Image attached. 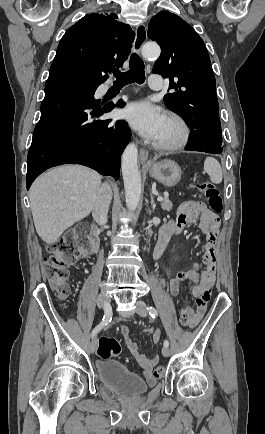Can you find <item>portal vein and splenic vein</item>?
<instances>
[{
  "label": "portal vein and splenic vein",
  "mask_w": 265,
  "mask_h": 434,
  "mask_svg": "<svg viewBox=\"0 0 265 434\" xmlns=\"http://www.w3.org/2000/svg\"><path fill=\"white\" fill-rule=\"evenodd\" d=\"M157 200H158V202H162L163 198H160V196H159V198H157Z\"/></svg>",
  "instance_id": "18ae733b"
}]
</instances>
